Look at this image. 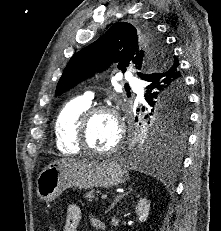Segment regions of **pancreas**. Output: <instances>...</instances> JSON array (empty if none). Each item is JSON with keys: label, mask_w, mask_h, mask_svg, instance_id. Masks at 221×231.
Wrapping results in <instances>:
<instances>
[{"label": "pancreas", "mask_w": 221, "mask_h": 231, "mask_svg": "<svg viewBox=\"0 0 221 231\" xmlns=\"http://www.w3.org/2000/svg\"><path fill=\"white\" fill-rule=\"evenodd\" d=\"M84 197L86 199H89V200L95 199V192L94 191H89L84 195Z\"/></svg>", "instance_id": "obj_1"}]
</instances>
